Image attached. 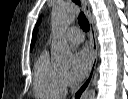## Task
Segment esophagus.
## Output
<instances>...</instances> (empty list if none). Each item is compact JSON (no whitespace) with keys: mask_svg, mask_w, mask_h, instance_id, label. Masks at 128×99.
Here are the masks:
<instances>
[{"mask_svg":"<svg viewBox=\"0 0 128 99\" xmlns=\"http://www.w3.org/2000/svg\"><path fill=\"white\" fill-rule=\"evenodd\" d=\"M81 2L83 5L84 13L87 16V18H89L91 14V8L89 5V2L87 0H81ZM90 43H91V49H92V62H91L90 70L86 79L75 91L73 95V99L83 98V96L85 95L86 91L88 90L92 82V79L95 73V67H96L97 56H98V45H97L96 33L93 26L91 27V31H90Z\"/></svg>","mask_w":128,"mask_h":99,"instance_id":"34e87169","label":"esophagus"}]
</instances>
